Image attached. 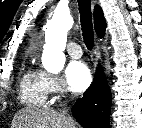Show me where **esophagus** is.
Returning a JSON list of instances; mask_svg holds the SVG:
<instances>
[{"mask_svg": "<svg viewBox=\"0 0 142 128\" xmlns=\"http://www.w3.org/2000/svg\"><path fill=\"white\" fill-rule=\"evenodd\" d=\"M93 55H94L95 66H96V64L98 63V60L100 59V47H99L98 41L95 42Z\"/></svg>", "mask_w": 142, "mask_h": 128, "instance_id": "obj_1", "label": "esophagus"}]
</instances>
